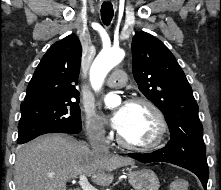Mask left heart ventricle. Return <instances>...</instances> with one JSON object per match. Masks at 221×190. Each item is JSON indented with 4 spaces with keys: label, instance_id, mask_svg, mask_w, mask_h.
I'll return each mask as SVG.
<instances>
[{
    "label": "left heart ventricle",
    "instance_id": "left-heart-ventricle-1",
    "mask_svg": "<svg viewBox=\"0 0 221 190\" xmlns=\"http://www.w3.org/2000/svg\"><path fill=\"white\" fill-rule=\"evenodd\" d=\"M155 131V118L149 108L127 104L126 122L119 130L124 139L134 144H146L153 139Z\"/></svg>",
    "mask_w": 221,
    "mask_h": 190
}]
</instances>
